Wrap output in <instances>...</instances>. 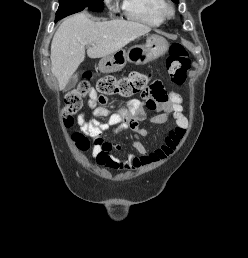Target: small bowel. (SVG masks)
Masks as SVG:
<instances>
[{"instance_id": "small-bowel-1", "label": "small bowel", "mask_w": 248, "mask_h": 258, "mask_svg": "<svg viewBox=\"0 0 248 258\" xmlns=\"http://www.w3.org/2000/svg\"><path fill=\"white\" fill-rule=\"evenodd\" d=\"M158 95L161 92L158 91ZM181 96L178 93L164 95L163 99L151 97L146 93L142 100L133 99L129 103V109L126 113L112 114L104 106L106 100L100 99L95 89L89 92V106L93 109L96 117H105L110 115L108 123H100L93 120L88 121L86 115L82 114L79 118V124L83 131L90 133L96 138V145L93 147V156L97 163L113 169H138L147 165L155 164L169 158L179 147L187 130L188 122L183 116V108L181 106ZM100 104V105H99ZM145 108L151 110H161L162 112L150 118L155 124H163L170 120L171 116H175V126L172 127L162 145L149 151L140 141H134L133 147L136 155L130 156L127 160H121L115 157L112 149H119L117 143H103L100 140L102 132L109 126H118L120 128H129L141 136L147 134L146 129L139 126L140 122L146 119Z\"/></svg>"}]
</instances>
